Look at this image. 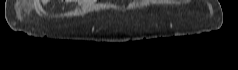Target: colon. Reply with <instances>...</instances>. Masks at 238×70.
I'll return each mask as SVG.
<instances>
[{
    "mask_svg": "<svg viewBox=\"0 0 238 70\" xmlns=\"http://www.w3.org/2000/svg\"><path fill=\"white\" fill-rule=\"evenodd\" d=\"M66 2L72 1V0H65Z\"/></svg>",
    "mask_w": 238,
    "mask_h": 70,
    "instance_id": "1",
    "label": "colon"
}]
</instances>
